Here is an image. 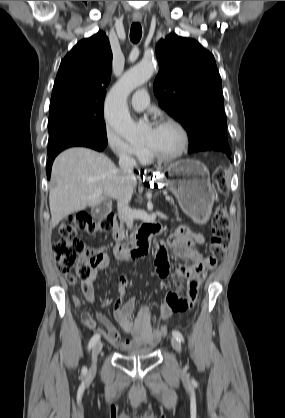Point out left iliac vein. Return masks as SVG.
<instances>
[{
	"instance_id": "4c4485c4",
	"label": "left iliac vein",
	"mask_w": 285,
	"mask_h": 418,
	"mask_svg": "<svg viewBox=\"0 0 285 418\" xmlns=\"http://www.w3.org/2000/svg\"><path fill=\"white\" fill-rule=\"evenodd\" d=\"M171 345L175 349V351H177L178 353L181 352V343H180L179 340H177L176 338L173 337L171 339Z\"/></svg>"
}]
</instances>
